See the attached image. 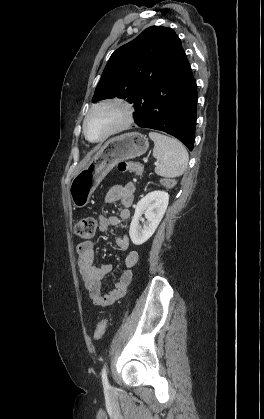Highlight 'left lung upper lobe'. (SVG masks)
<instances>
[{
    "label": "left lung upper lobe",
    "instance_id": "left-lung-upper-lobe-1",
    "mask_svg": "<svg viewBox=\"0 0 264 419\" xmlns=\"http://www.w3.org/2000/svg\"><path fill=\"white\" fill-rule=\"evenodd\" d=\"M182 50L181 40L168 27L151 26L110 57L97 84L93 102L123 98L140 107L156 81L169 78Z\"/></svg>",
    "mask_w": 264,
    "mask_h": 419
}]
</instances>
